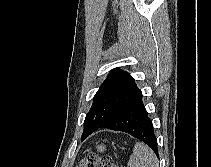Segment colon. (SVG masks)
Instances as JSON below:
<instances>
[{"label":"colon","mask_w":211,"mask_h":167,"mask_svg":"<svg viewBox=\"0 0 211 167\" xmlns=\"http://www.w3.org/2000/svg\"><path fill=\"white\" fill-rule=\"evenodd\" d=\"M77 167H117L108 157H102L94 153L87 154Z\"/></svg>","instance_id":"1"}]
</instances>
